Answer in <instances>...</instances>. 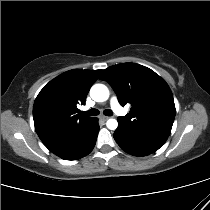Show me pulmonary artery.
<instances>
[{
	"instance_id": "obj_1",
	"label": "pulmonary artery",
	"mask_w": 210,
	"mask_h": 210,
	"mask_svg": "<svg viewBox=\"0 0 210 210\" xmlns=\"http://www.w3.org/2000/svg\"><path fill=\"white\" fill-rule=\"evenodd\" d=\"M110 104L111 108L116 114L121 116L126 114V111L120 106L116 98H112Z\"/></svg>"
}]
</instances>
